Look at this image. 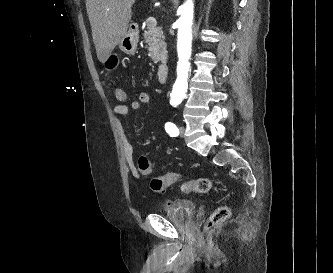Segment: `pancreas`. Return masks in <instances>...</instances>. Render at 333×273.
I'll use <instances>...</instances> for the list:
<instances>
[{
	"instance_id": "obj_1",
	"label": "pancreas",
	"mask_w": 333,
	"mask_h": 273,
	"mask_svg": "<svg viewBox=\"0 0 333 273\" xmlns=\"http://www.w3.org/2000/svg\"><path fill=\"white\" fill-rule=\"evenodd\" d=\"M147 31H144V41L147 43L148 56L154 61L159 62L166 57V43L164 42L163 31L160 28H152L147 22Z\"/></svg>"
}]
</instances>
